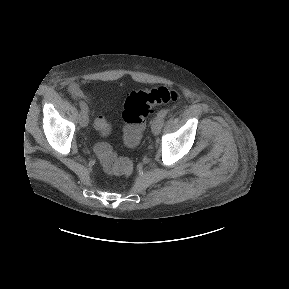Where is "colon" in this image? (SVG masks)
I'll return each mask as SVG.
<instances>
[{"label":"colon","mask_w":289,"mask_h":289,"mask_svg":"<svg viewBox=\"0 0 289 289\" xmlns=\"http://www.w3.org/2000/svg\"><path fill=\"white\" fill-rule=\"evenodd\" d=\"M179 99L177 91L167 87H156L149 90L131 92L123 105L122 118L124 125V145L134 148L138 145L147 116L152 108L159 104L174 103ZM95 129L101 135H107L110 124L103 116L95 120ZM104 170L113 175L128 176L133 170L132 162L125 157H118L106 142H99L95 146Z\"/></svg>","instance_id":"1"}]
</instances>
